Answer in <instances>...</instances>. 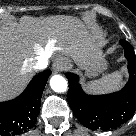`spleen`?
<instances>
[{
  "instance_id": "obj_1",
  "label": "spleen",
  "mask_w": 136,
  "mask_h": 136,
  "mask_svg": "<svg viewBox=\"0 0 136 136\" xmlns=\"http://www.w3.org/2000/svg\"><path fill=\"white\" fill-rule=\"evenodd\" d=\"M120 82V76L116 74H110L102 79L90 84V88L93 90H110L113 89Z\"/></svg>"
}]
</instances>
